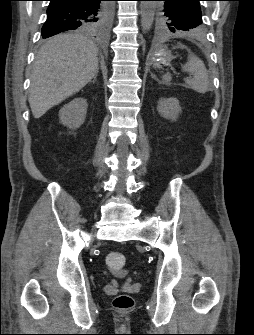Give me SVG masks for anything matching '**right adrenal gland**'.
I'll use <instances>...</instances> for the list:
<instances>
[{
    "label": "right adrenal gland",
    "mask_w": 254,
    "mask_h": 335,
    "mask_svg": "<svg viewBox=\"0 0 254 335\" xmlns=\"http://www.w3.org/2000/svg\"><path fill=\"white\" fill-rule=\"evenodd\" d=\"M96 79H97V75L94 76L92 83H95Z\"/></svg>",
    "instance_id": "right-adrenal-gland-1"
}]
</instances>
